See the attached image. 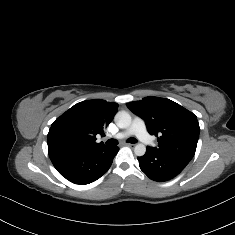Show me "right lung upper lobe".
<instances>
[{
  "instance_id": "1",
  "label": "right lung upper lobe",
  "mask_w": 235,
  "mask_h": 235,
  "mask_svg": "<svg viewBox=\"0 0 235 235\" xmlns=\"http://www.w3.org/2000/svg\"><path fill=\"white\" fill-rule=\"evenodd\" d=\"M118 104L105 100H88L75 104L51 125L48 148L96 149L105 147L96 142V135L104 129L117 113Z\"/></svg>"
}]
</instances>
